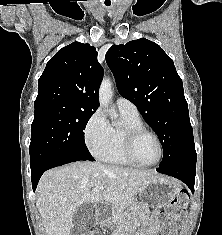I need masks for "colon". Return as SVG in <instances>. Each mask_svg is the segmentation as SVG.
Returning a JSON list of instances; mask_svg holds the SVG:
<instances>
[{"label": "colon", "mask_w": 222, "mask_h": 235, "mask_svg": "<svg viewBox=\"0 0 222 235\" xmlns=\"http://www.w3.org/2000/svg\"><path fill=\"white\" fill-rule=\"evenodd\" d=\"M188 202V192L186 190H180L164 211L162 228L158 235H176L177 226L186 214ZM90 235L97 234L91 233Z\"/></svg>", "instance_id": "colon-1"}]
</instances>
